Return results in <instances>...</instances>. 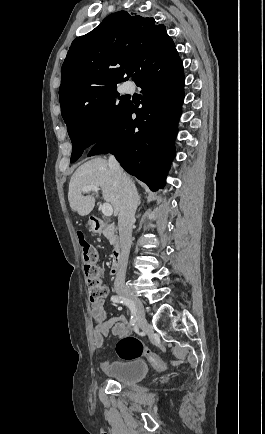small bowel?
Returning <instances> with one entry per match:
<instances>
[{
  "label": "small bowel",
  "mask_w": 265,
  "mask_h": 434,
  "mask_svg": "<svg viewBox=\"0 0 265 434\" xmlns=\"http://www.w3.org/2000/svg\"><path fill=\"white\" fill-rule=\"evenodd\" d=\"M91 315L96 322L92 334V342L96 349H101L106 337L112 332L116 336H125L129 332L127 319L124 315L107 318V311L104 308L103 300H94L91 303ZM167 368V363L160 358V368Z\"/></svg>",
  "instance_id": "small-bowel-1"
}]
</instances>
